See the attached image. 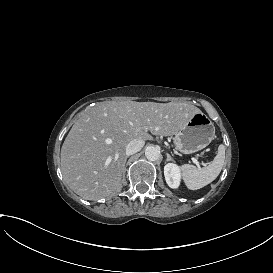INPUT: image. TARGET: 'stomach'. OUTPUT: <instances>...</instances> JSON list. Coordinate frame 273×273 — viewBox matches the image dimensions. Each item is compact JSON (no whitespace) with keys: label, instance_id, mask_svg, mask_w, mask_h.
Segmentation results:
<instances>
[{"label":"stomach","instance_id":"0dacf381","mask_svg":"<svg viewBox=\"0 0 273 273\" xmlns=\"http://www.w3.org/2000/svg\"><path fill=\"white\" fill-rule=\"evenodd\" d=\"M215 136V127L204 113H196L174 137L182 153H192L207 147Z\"/></svg>","mask_w":273,"mask_h":273}]
</instances>
